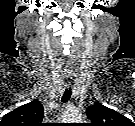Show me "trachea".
Returning a JSON list of instances; mask_svg holds the SVG:
<instances>
[{"instance_id": "obj_1", "label": "trachea", "mask_w": 135, "mask_h": 126, "mask_svg": "<svg viewBox=\"0 0 135 126\" xmlns=\"http://www.w3.org/2000/svg\"><path fill=\"white\" fill-rule=\"evenodd\" d=\"M71 94H72V89L71 87L66 88L63 96H62V102L66 103L70 98H71Z\"/></svg>"}]
</instances>
